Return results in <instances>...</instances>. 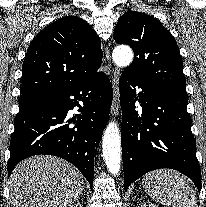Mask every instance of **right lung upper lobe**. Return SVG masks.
<instances>
[{"instance_id": "cb5924a9", "label": "right lung upper lobe", "mask_w": 206, "mask_h": 207, "mask_svg": "<svg viewBox=\"0 0 206 207\" xmlns=\"http://www.w3.org/2000/svg\"><path fill=\"white\" fill-rule=\"evenodd\" d=\"M100 39L83 19L66 16L32 40L23 63L21 97L82 82L99 72Z\"/></svg>"}]
</instances>
